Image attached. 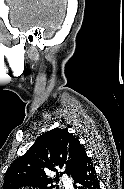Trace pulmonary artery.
I'll return each mask as SVG.
<instances>
[{
    "instance_id": "e3ab8cb5",
    "label": "pulmonary artery",
    "mask_w": 124,
    "mask_h": 189,
    "mask_svg": "<svg viewBox=\"0 0 124 189\" xmlns=\"http://www.w3.org/2000/svg\"><path fill=\"white\" fill-rule=\"evenodd\" d=\"M63 181H64V186L67 188L71 187V181L69 180V178L67 176H63L62 177Z\"/></svg>"
}]
</instances>
